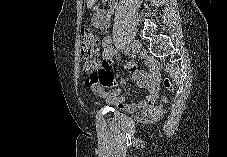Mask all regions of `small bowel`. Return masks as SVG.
<instances>
[{
  "instance_id": "c3829d8e",
  "label": "small bowel",
  "mask_w": 227,
  "mask_h": 157,
  "mask_svg": "<svg viewBox=\"0 0 227 157\" xmlns=\"http://www.w3.org/2000/svg\"><path fill=\"white\" fill-rule=\"evenodd\" d=\"M113 55L112 41L110 38H106L102 44V63L97 71V78L87 83L90 92L104 97L110 104L116 105L118 108L128 112L152 107L157 99L159 90V73L157 68H152L151 72L146 74L139 71L133 61L127 63L126 69L135 82L148 88V93L140 102H128L121 95L120 87L113 83V75L111 73Z\"/></svg>"
}]
</instances>
